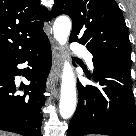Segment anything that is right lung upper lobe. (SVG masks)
Returning <instances> with one entry per match:
<instances>
[{"label": "right lung upper lobe", "mask_w": 136, "mask_h": 136, "mask_svg": "<svg viewBox=\"0 0 136 136\" xmlns=\"http://www.w3.org/2000/svg\"><path fill=\"white\" fill-rule=\"evenodd\" d=\"M51 13L39 0H0V61L15 57L46 37Z\"/></svg>", "instance_id": "obj_1"}]
</instances>
